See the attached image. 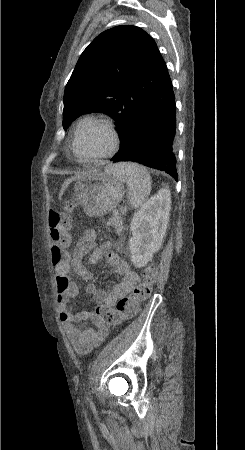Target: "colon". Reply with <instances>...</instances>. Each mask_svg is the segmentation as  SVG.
<instances>
[{"instance_id":"5ec220e1","label":"colon","mask_w":245,"mask_h":450,"mask_svg":"<svg viewBox=\"0 0 245 450\" xmlns=\"http://www.w3.org/2000/svg\"><path fill=\"white\" fill-rule=\"evenodd\" d=\"M74 200H65L61 210H52L48 216V226L51 237V262L54 266L65 261L70 245L71 220L69 212L74 205ZM158 279V268L156 265H148L143 270L142 281L135 285L131 293L120 299L115 306L99 305L94 312L99 322L108 325H118L122 321L133 318L139 306L146 302L153 289V285Z\"/></svg>"}]
</instances>
